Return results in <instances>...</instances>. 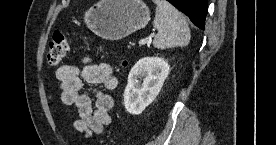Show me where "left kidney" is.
<instances>
[{
	"label": "left kidney",
	"mask_w": 276,
	"mask_h": 145,
	"mask_svg": "<svg viewBox=\"0 0 276 145\" xmlns=\"http://www.w3.org/2000/svg\"><path fill=\"white\" fill-rule=\"evenodd\" d=\"M170 66L160 57H144L136 62L128 75L124 91V105L127 112L141 114L159 94ZM143 77V83L139 78Z\"/></svg>",
	"instance_id": "obj_1"
}]
</instances>
